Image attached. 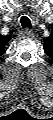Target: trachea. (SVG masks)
Instances as JSON below:
<instances>
[{"label":"trachea","mask_w":53,"mask_h":120,"mask_svg":"<svg viewBox=\"0 0 53 120\" xmlns=\"http://www.w3.org/2000/svg\"><path fill=\"white\" fill-rule=\"evenodd\" d=\"M20 23L23 28H29V29L31 28V21L26 16L21 17Z\"/></svg>","instance_id":"3493384b"}]
</instances>
